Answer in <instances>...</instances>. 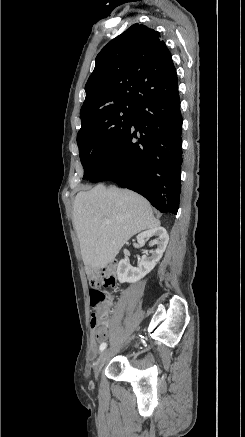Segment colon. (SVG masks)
Masks as SVG:
<instances>
[{
    "mask_svg": "<svg viewBox=\"0 0 245 437\" xmlns=\"http://www.w3.org/2000/svg\"><path fill=\"white\" fill-rule=\"evenodd\" d=\"M90 304L94 308L92 313L93 335L99 339L106 335V328L102 325L108 296L105 289L114 287L116 285V265L109 264L107 267L93 273L90 277Z\"/></svg>",
    "mask_w": 245,
    "mask_h": 437,
    "instance_id": "colon-1",
    "label": "colon"
}]
</instances>
